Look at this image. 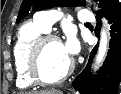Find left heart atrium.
<instances>
[{
    "label": "left heart atrium",
    "instance_id": "1",
    "mask_svg": "<svg viewBox=\"0 0 121 94\" xmlns=\"http://www.w3.org/2000/svg\"><path fill=\"white\" fill-rule=\"evenodd\" d=\"M66 53L72 58L78 51V44L73 38H69L66 44H63Z\"/></svg>",
    "mask_w": 121,
    "mask_h": 94
}]
</instances>
